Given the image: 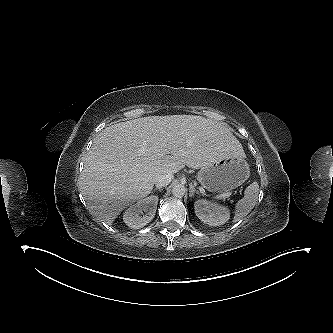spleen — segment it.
Here are the masks:
<instances>
[{
  "label": "spleen",
  "mask_w": 333,
  "mask_h": 333,
  "mask_svg": "<svg viewBox=\"0 0 333 333\" xmlns=\"http://www.w3.org/2000/svg\"><path fill=\"white\" fill-rule=\"evenodd\" d=\"M259 193V185L253 182L245 189L244 197L235 205L234 222H238L247 216L254 208Z\"/></svg>",
  "instance_id": "spleen-1"
}]
</instances>
